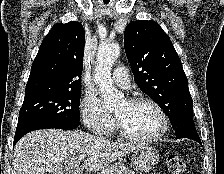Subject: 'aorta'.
Wrapping results in <instances>:
<instances>
[{"mask_svg": "<svg viewBox=\"0 0 224 174\" xmlns=\"http://www.w3.org/2000/svg\"><path fill=\"white\" fill-rule=\"evenodd\" d=\"M120 54L117 43L101 44L97 52V68L95 81L103 97V104L107 109H113L124 101V95L113 85L111 78L112 66Z\"/></svg>", "mask_w": 224, "mask_h": 174, "instance_id": "762f6f07", "label": "aorta"}]
</instances>
